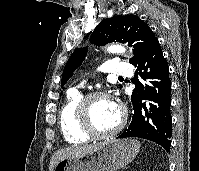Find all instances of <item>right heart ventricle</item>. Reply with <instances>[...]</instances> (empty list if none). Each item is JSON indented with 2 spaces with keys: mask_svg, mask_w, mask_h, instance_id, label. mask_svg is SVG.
Segmentation results:
<instances>
[{
  "mask_svg": "<svg viewBox=\"0 0 199 171\" xmlns=\"http://www.w3.org/2000/svg\"><path fill=\"white\" fill-rule=\"evenodd\" d=\"M82 97L83 94L79 90H68L59 112L61 133L70 144H83L90 139V136L82 131L78 116V104Z\"/></svg>",
  "mask_w": 199,
  "mask_h": 171,
  "instance_id": "e07e8e85",
  "label": "right heart ventricle"
}]
</instances>
